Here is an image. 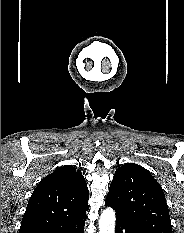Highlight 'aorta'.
I'll return each instance as SVG.
<instances>
[{
  "instance_id": "1",
  "label": "aorta",
  "mask_w": 184,
  "mask_h": 233,
  "mask_svg": "<svg viewBox=\"0 0 184 233\" xmlns=\"http://www.w3.org/2000/svg\"><path fill=\"white\" fill-rule=\"evenodd\" d=\"M115 212L111 208H106L99 220V233H114Z\"/></svg>"
}]
</instances>
